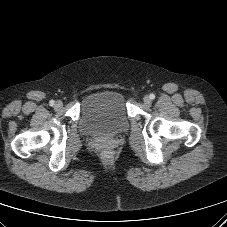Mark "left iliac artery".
<instances>
[{
  "mask_svg": "<svg viewBox=\"0 0 227 227\" xmlns=\"http://www.w3.org/2000/svg\"><path fill=\"white\" fill-rule=\"evenodd\" d=\"M149 97H150L151 100L155 99V95L153 93L150 94Z\"/></svg>",
  "mask_w": 227,
  "mask_h": 227,
  "instance_id": "44dca946",
  "label": "left iliac artery"
}]
</instances>
